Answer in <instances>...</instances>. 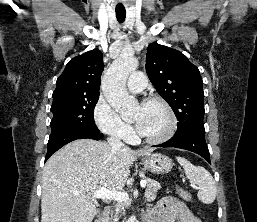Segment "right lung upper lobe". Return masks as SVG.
<instances>
[{
    "mask_svg": "<svg viewBox=\"0 0 257 222\" xmlns=\"http://www.w3.org/2000/svg\"><path fill=\"white\" fill-rule=\"evenodd\" d=\"M103 55L94 49L71 59L57 79L53 102L99 96Z\"/></svg>",
    "mask_w": 257,
    "mask_h": 222,
    "instance_id": "obj_1",
    "label": "right lung upper lobe"
}]
</instances>
